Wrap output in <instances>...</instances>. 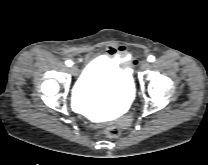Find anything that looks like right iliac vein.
<instances>
[{"mask_svg":"<svg viewBox=\"0 0 208 165\" xmlns=\"http://www.w3.org/2000/svg\"><path fill=\"white\" fill-rule=\"evenodd\" d=\"M70 72L73 76H77L78 75V68L76 66H71Z\"/></svg>","mask_w":208,"mask_h":165,"instance_id":"obj_1","label":"right iliac vein"}]
</instances>
